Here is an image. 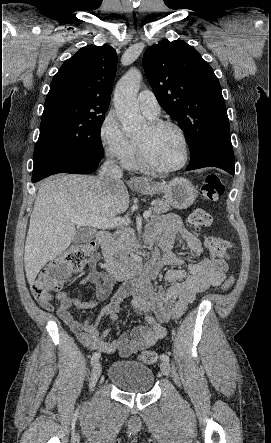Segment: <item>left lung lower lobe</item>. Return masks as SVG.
<instances>
[{"label": "left lung lower lobe", "mask_w": 271, "mask_h": 443, "mask_svg": "<svg viewBox=\"0 0 271 443\" xmlns=\"http://www.w3.org/2000/svg\"><path fill=\"white\" fill-rule=\"evenodd\" d=\"M203 167H218L230 174H234L235 160L234 157H226L222 155H204L190 162L187 170H194Z\"/></svg>", "instance_id": "0a47b994"}]
</instances>
